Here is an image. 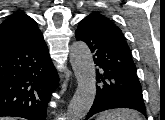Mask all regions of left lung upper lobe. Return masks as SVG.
<instances>
[{
	"mask_svg": "<svg viewBox=\"0 0 165 120\" xmlns=\"http://www.w3.org/2000/svg\"><path fill=\"white\" fill-rule=\"evenodd\" d=\"M88 17L93 19L102 31L125 42L122 31L108 18L97 12H93Z\"/></svg>",
	"mask_w": 165,
	"mask_h": 120,
	"instance_id": "left-lung-upper-lobe-1",
	"label": "left lung upper lobe"
}]
</instances>
